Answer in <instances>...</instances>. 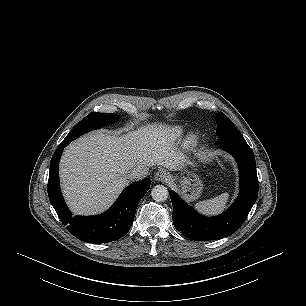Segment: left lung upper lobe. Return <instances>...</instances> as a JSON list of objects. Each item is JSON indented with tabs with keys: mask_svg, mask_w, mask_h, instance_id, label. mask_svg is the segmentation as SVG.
I'll return each instance as SVG.
<instances>
[{
	"mask_svg": "<svg viewBox=\"0 0 306 306\" xmlns=\"http://www.w3.org/2000/svg\"><path fill=\"white\" fill-rule=\"evenodd\" d=\"M217 144L225 142H243L244 137L239 130L234 126L233 122L222 112L217 114Z\"/></svg>",
	"mask_w": 306,
	"mask_h": 306,
	"instance_id": "1",
	"label": "left lung upper lobe"
}]
</instances>
